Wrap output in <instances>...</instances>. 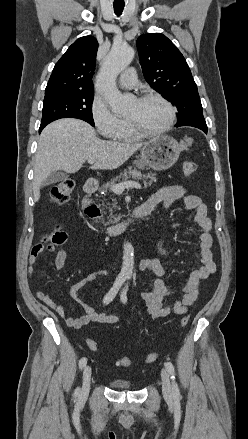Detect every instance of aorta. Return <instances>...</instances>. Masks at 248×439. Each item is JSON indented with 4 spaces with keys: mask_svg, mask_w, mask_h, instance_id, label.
<instances>
[{
    "mask_svg": "<svg viewBox=\"0 0 248 439\" xmlns=\"http://www.w3.org/2000/svg\"><path fill=\"white\" fill-rule=\"evenodd\" d=\"M134 49L128 45L112 47L97 77L99 90L114 113H123L129 106L131 97L122 94L116 86L117 76L131 63ZM134 268V248L130 242L123 245L121 273L131 276Z\"/></svg>",
    "mask_w": 248,
    "mask_h": 439,
    "instance_id": "762f6f07",
    "label": "aorta"
}]
</instances>
